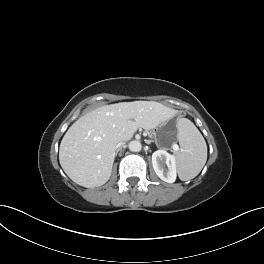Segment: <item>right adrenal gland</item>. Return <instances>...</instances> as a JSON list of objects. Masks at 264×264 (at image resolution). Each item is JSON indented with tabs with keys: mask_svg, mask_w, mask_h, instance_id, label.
<instances>
[{
	"mask_svg": "<svg viewBox=\"0 0 264 264\" xmlns=\"http://www.w3.org/2000/svg\"><path fill=\"white\" fill-rule=\"evenodd\" d=\"M118 152H119V149L116 150V152H115V156H117Z\"/></svg>",
	"mask_w": 264,
	"mask_h": 264,
	"instance_id": "1",
	"label": "right adrenal gland"
}]
</instances>
